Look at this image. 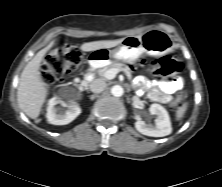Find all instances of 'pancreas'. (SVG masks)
Instances as JSON below:
<instances>
[{"label": "pancreas", "mask_w": 222, "mask_h": 187, "mask_svg": "<svg viewBox=\"0 0 222 187\" xmlns=\"http://www.w3.org/2000/svg\"><path fill=\"white\" fill-rule=\"evenodd\" d=\"M110 69H118L120 71H128L129 68L122 64V63H118V62H111L108 65L104 66L103 68L98 70V74L102 77L105 76V73L110 70Z\"/></svg>", "instance_id": "1"}]
</instances>
